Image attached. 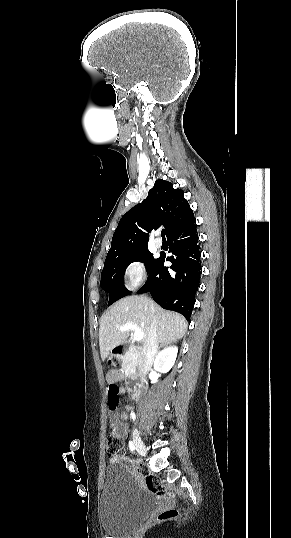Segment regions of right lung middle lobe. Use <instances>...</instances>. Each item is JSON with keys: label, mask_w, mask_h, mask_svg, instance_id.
I'll list each match as a JSON object with an SVG mask.
<instances>
[{"label": "right lung middle lobe", "mask_w": 291, "mask_h": 538, "mask_svg": "<svg viewBox=\"0 0 291 538\" xmlns=\"http://www.w3.org/2000/svg\"><path fill=\"white\" fill-rule=\"evenodd\" d=\"M156 260L148 248L106 259L101 273V287L110 295L108 306L131 293L126 289L123 281L125 270L130 263L143 262L149 273Z\"/></svg>", "instance_id": "dd1d6c3e"}]
</instances>
